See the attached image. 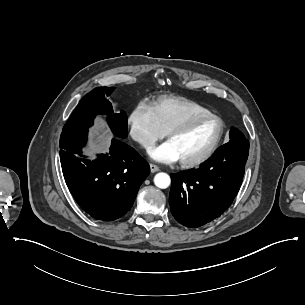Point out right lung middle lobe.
<instances>
[{"label":"right lung middle lobe","mask_w":305,"mask_h":305,"mask_svg":"<svg viewBox=\"0 0 305 305\" xmlns=\"http://www.w3.org/2000/svg\"><path fill=\"white\" fill-rule=\"evenodd\" d=\"M114 87H97L85 95L63 127V132L88 130L93 119L98 114L107 116L112 132L118 136L127 137V115L124 111L114 113L111 103L106 99L114 91Z\"/></svg>","instance_id":"right-lung-middle-lobe-1"}]
</instances>
